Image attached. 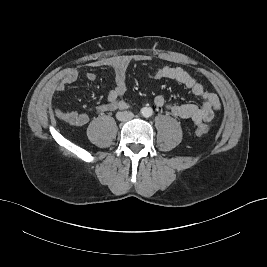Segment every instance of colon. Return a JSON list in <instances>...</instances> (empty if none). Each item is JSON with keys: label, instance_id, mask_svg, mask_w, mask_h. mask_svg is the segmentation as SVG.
Returning a JSON list of instances; mask_svg holds the SVG:
<instances>
[{"label": "colon", "instance_id": "colon-1", "mask_svg": "<svg viewBox=\"0 0 267 267\" xmlns=\"http://www.w3.org/2000/svg\"><path fill=\"white\" fill-rule=\"evenodd\" d=\"M208 132H209V128L204 125H201L196 128V133L198 135H206Z\"/></svg>", "mask_w": 267, "mask_h": 267}]
</instances>
